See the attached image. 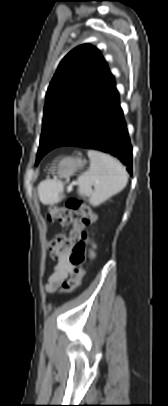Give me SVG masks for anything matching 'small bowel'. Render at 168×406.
I'll use <instances>...</instances> for the list:
<instances>
[{"mask_svg": "<svg viewBox=\"0 0 168 406\" xmlns=\"http://www.w3.org/2000/svg\"><path fill=\"white\" fill-rule=\"evenodd\" d=\"M69 255L70 251L67 250L59 256L58 262L46 284L47 290H57L66 280L74 276L75 267L70 263ZM90 256H94L93 251H91Z\"/></svg>", "mask_w": 168, "mask_h": 406, "instance_id": "1", "label": "small bowel"}]
</instances>
